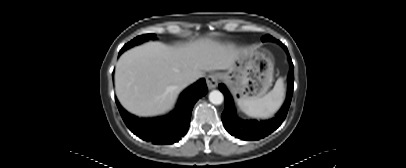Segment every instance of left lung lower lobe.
Wrapping results in <instances>:
<instances>
[{
    "mask_svg": "<svg viewBox=\"0 0 406 168\" xmlns=\"http://www.w3.org/2000/svg\"><path fill=\"white\" fill-rule=\"evenodd\" d=\"M280 45L285 48L288 54V60L290 62V72L288 75L287 98L282 108L276 114L275 118L265 121L239 119L236 116L233 99L229 91L223 84H219L218 87L223 92L225 97V109L221 115V119L225 129L232 136H235L242 140H259L276 130L284 121L292 100L294 85V66L286 46H284L282 43Z\"/></svg>",
    "mask_w": 406,
    "mask_h": 168,
    "instance_id": "0a47b994",
    "label": "left lung lower lobe"
}]
</instances>
